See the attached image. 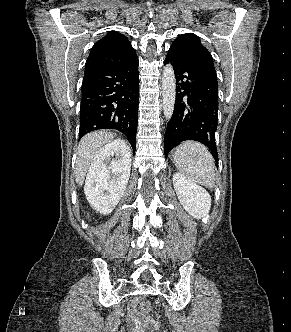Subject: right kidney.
I'll return each instance as SVG.
<instances>
[{
	"instance_id": "obj_1",
	"label": "right kidney",
	"mask_w": 291,
	"mask_h": 332,
	"mask_svg": "<svg viewBox=\"0 0 291 332\" xmlns=\"http://www.w3.org/2000/svg\"><path fill=\"white\" fill-rule=\"evenodd\" d=\"M131 156L121 140L99 150L88 170L84 192L89 203L100 213L109 214L118 204L128 184Z\"/></svg>"
}]
</instances>
